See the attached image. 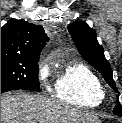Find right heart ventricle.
<instances>
[{"label":"right heart ventricle","mask_w":122,"mask_h":123,"mask_svg":"<svg viewBox=\"0 0 122 123\" xmlns=\"http://www.w3.org/2000/svg\"><path fill=\"white\" fill-rule=\"evenodd\" d=\"M53 94L61 102L85 108L98 106L104 91L101 80L87 65L73 62L57 71Z\"/></svg>","instance_id":"1"}]
</instances>
